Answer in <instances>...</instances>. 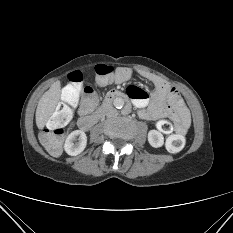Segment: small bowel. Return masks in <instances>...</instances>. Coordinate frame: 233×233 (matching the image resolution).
I'll return each instance as SVG.
<instances>
[{
  "label": "small bowel",
  "instance_id": "c3829d8e",
  "mask_svg": "<svg viewBox=\"0 0 233 233\" xmlns=\"http://www.w3.org/2000/svg\"><path fill=\"white\" fill-rule=\"evenodd\" d=\"M132 75L133 72L129 68H118L114 82L117 84L126 83ZM140 75L155 86V91L148 95L136 86L128 88V95L138 108L139 116L145 120L155 121L157 129L164 134L172 132L185 134L191 119L179 91L157 75L150 73H140ZM95 104L96 97H85L79 107L81 118L87 116L94 109Z\"/></svg>",
  "mask_w": 233,
  "mask_h": 233
}]
</instances>
